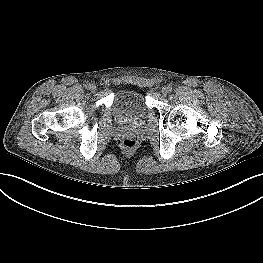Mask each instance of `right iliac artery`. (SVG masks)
<instances>
[{
  "instance_id": "obj_1",
  "label": "right iliac artery",
  "mask_w": 263,
  "mask_h": 263,
  "mask_svg": "<svg viewBox=\"0 0 263 263\" xmlns=\"http://www.w3.org/2000/svg\"><path fill=\"white\" fill-rule=\"evenodd\" d=\"M90 87H91V84H87V85H86V88H87V89H90Z\"/></svg>"
}]
</instances>
